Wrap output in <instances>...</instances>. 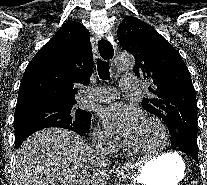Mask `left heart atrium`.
Here are the masks:
<instances>
[{
  "mask_svg": "<svg viewBox=\"0 0 207 185\" xmlns=\"http://www.w3.org/2000/svg\"><path fill=\"white\" fill-rule=\"evenodd\" d=\"M100 119L107 129L127 137L143 121V116L138 108L117 102L102 109Z\"/></svg>",
  "mask_w": 207,
  "mask_h": 185,
  "instance_id": "1",
  "label": "left heart atrium"
}]
</instances>
